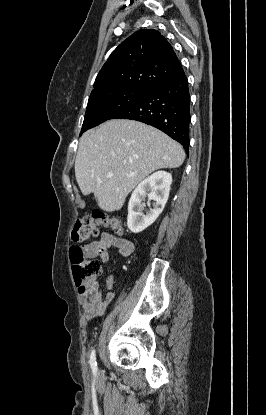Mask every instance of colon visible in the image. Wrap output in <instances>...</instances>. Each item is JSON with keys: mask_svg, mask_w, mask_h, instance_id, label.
Instances as JSON below:
<instances>
[{"mask_svg": "<svg viewBox=\"0 0 266 415\" xmlns=\"http://www.w3.org/2000/svg\"><path fill=\"white\" fill-rule=\"evenodd\" d=\"M110 227L116 233H122L124 224L117 218L108 217L101 211L79 218L72 230V240L76 243L98 235L99 227ZM70 258L74 279L79 288H85L87 281L99 276L102 272L101 262L91 258L86 249L79 244L71 247Z\"/></svg>", "mask_w": 266, "mask_h": 415, "instance_id": "1", "label": "colon"}]
</instances>
